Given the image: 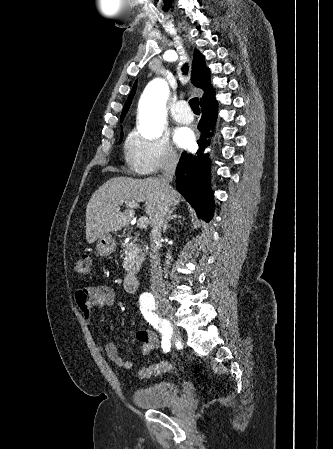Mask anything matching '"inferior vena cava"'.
<instances>
[{"label": "inferior vena cava", "instance_id": "inferior-vena-cava-1", "mask_svg": "<svg viewBox=\"0 0 333 449\" xmlns=\"http://www.w3.org/2000/svg\"><path fill=\"white\" fill-rule=\"evenodd\" d=\"M178 163L176 156H171L165 166V172L161 177L162 195L158 211L155 215L152 231L150 233V261H151V292L155 298H164L165 286L163 283V271L160 266L159 247L161 245V232L164 225L167 212L169 210L168 193L170 190V182L175 174Z\"/></svg>", "mask_w": 333, "mask_h": 449}]
</instances>
